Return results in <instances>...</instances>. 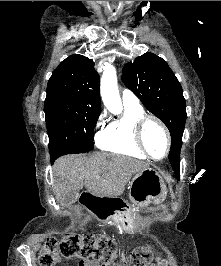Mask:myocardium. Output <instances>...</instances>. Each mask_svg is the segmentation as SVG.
I'll use <instances>...</instances> for the list:
<instances>
[{
  "instance_id": "1",
  "label": "myocardium",
  "mask_w": 221,
  "mask_h": 266,
  "mask_svg": "<svg viewBox=\"0 0 221 266\" xmlns=\"http://www.w3.org/2000/svg\"><path fill=\"white\" fill-rule=\"evenodd\" d=\"M150 121L156 123L159 126V128L162 130V132L165 136V139H166V150H165L164 155L161 158H155L154 156H152L150 154V152L148 151L145 143H144L143 132H144L145 126ZM134 139H135V142L138 145V147L141 149V151L148 158H150L154 161L164 160L168 156L170 149H171V136H170L168 128L159 118H157L156 116H153V115L144 114L135 121V123H134Z\"/></svg>"
}]
</instances>
